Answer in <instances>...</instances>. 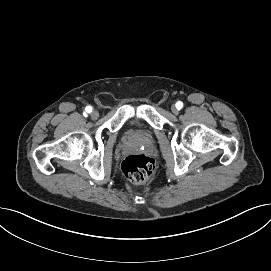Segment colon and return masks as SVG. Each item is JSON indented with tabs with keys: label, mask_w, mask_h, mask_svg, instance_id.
I'll return each instance as SVG.
<instances>
[{
	"label": "colon",
	"mask_w": 271,
	"mask_h": 271,
	"mask_svg": "<svg viewBox=\"0 0 271 271\" xmlns=\"http://www.w3.org/2000/svg\"><path fill=\"white\" fill-rule=\"evenodd\" d=\"M121 169L129 180L140 183L153 175L155 162L146 155H129L123 160Z\"/></svg>",
	"instance_id": "obj_1"
}]
</instances>
